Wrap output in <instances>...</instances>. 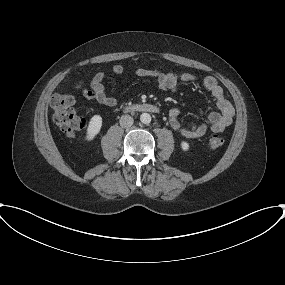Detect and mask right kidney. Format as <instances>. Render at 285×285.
<instances>
[{
    "instance_id": "1",
    "label": "right kidney",
    "mask_w": 285,
    "mask_h": 285,
    "mask_svg": "<svg viewBox=\"0 0 285 285\" xmlns=\"http://www.w3.org/2000/svg\"><path fill=\"white\" fill-rule=\"evenodd\" d=\"M102 127V117L94 115L88 124L85 140L92 141L100 132Z\"/></svg>"
}]
</instances>
